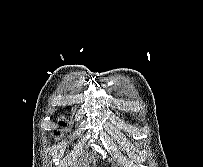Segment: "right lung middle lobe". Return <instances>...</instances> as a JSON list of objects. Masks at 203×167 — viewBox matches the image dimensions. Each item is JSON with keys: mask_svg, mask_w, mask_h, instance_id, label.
I'll return each instance as SVG.
<instances>
[{"mask_svg": "<svg viewBox=\"0 0 203 167\" xmlns=\"http://www.w3.org/2000/svg\"><path fill=\"white\" fill-rule=\"evenodd\" d=\"M60 124H61V125H66L64 122H61Z\"/></svg>", "mask_w": 203, "mask_h": 167, "instance_id": "1", "label": "right lung middle lobe"}]
</instances>
